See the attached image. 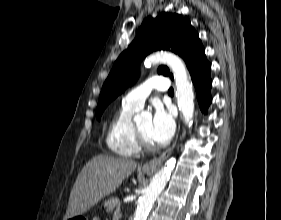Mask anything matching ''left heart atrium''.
<instances>
[{"mask_svg": "<svg viewBox=\"0 0 281 220\" xmlns=\"http://www.w3.org/2000/svg\"><path fill=\"white\" fill-rule=\"evenodd\" d=\"M175 132L173 116L163 108H157L150 128V138L156 144H165Z\"/></svg>", "mask_w": 281, "mask_h": 220, "instance_id": "obj_1", "label": "left heart atrium"}]
</instances>
